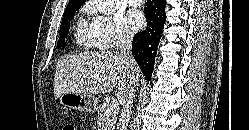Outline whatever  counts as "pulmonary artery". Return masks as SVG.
<instances>
[{
    "instance_id": "e3ab8cb5",
    "label": "pulmonary artery",
    "mask_w": 249,
    "mask_h": 130,
    "mask_svg": "<svg viewBox=\"0 0 249 130\" xmlns=\"http://www.w3.org/2000/svg\"><path fill=\"white\" fill-rule=\"evenodd\" d=\"M130 5L139 6L143 3V0H128Z\"/></svg>"
}]
</instances>
